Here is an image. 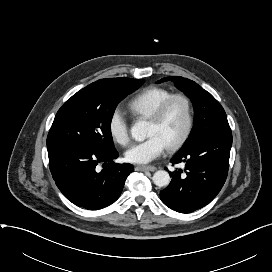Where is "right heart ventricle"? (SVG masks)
I'll return each mask as SVG.
<instances>
[{"instance_id": "obj_1", "label": "right heart ventricle", "mask_w": 272, "mask_h": 272, "mask_svg": "<svg viewBox=\"0 0 272 272\" xmlns=\"http://www.w3.org/2000/svg\"><path fill=\"white\" fill-rule=\"evenodd\" d=\"M173 93L163 87L151 86L137 93L128 102V109L136 118H148L156 107Z\"/></svg>"}]
</instances>
